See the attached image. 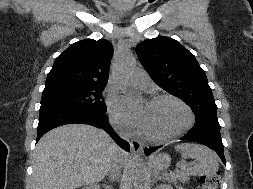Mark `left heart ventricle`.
<instances>
[{
	"instance_id": "obj_1",
	"label": "left heart ventricle",
	"mask_w": 253,
	"mask_h": 189,
	"mask_svg": "<svg viewBox=\"0 0 253 189\" xmlns=\"http://www.w3.org/2000/svg\"><path fill=\"white\" fill-rule=\"evenodd\" d=\"M186 121L185 111L177 104L163 100L146 105L143 130L157 136L171 134Z\"/></svg>"
}]
</instances>
